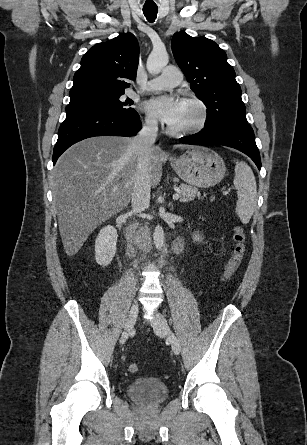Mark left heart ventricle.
Here are the masks:
<instances>
[{
  "mask_svg": "<svg viewBox=\"0 0 307 445\" xmlns=\"http://www.w3.org/2000/svg\"><path fill=\"white\" fill-rule=\"evenodd\" d=\"M198 116L199 113L197 108L194 105L186 102L182 115L175 123L170 126L176 129L188 126L195 122Z\"/></svg>",
  "mask_w": 307,
  "mask_h": 445,
  "instance_id": "1",
  "label": "left heart ventricle"
}]
</instances>
